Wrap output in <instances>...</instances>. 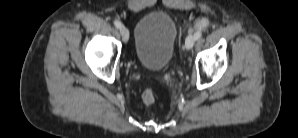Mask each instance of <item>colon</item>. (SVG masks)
<instances>
[{
  "label": "colon",
  "mask_w": 298,
  "mask_h": 138,
  "mask_svg": "<svg viewBox=\"0 0 298 138\" xmlns=\"http://www.w3.org/2000/svg\"><path fill=\"white\" fill-rule=\"evenodd\" d=\"M142 99L145 104H151L154 101V95L151 91L146 90L142 95Z\"/></svg>",
  "instance_id": "1"
}]
</instances>
